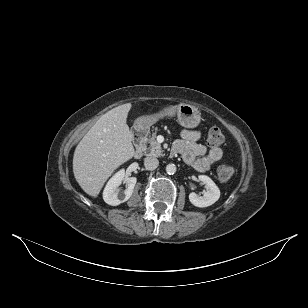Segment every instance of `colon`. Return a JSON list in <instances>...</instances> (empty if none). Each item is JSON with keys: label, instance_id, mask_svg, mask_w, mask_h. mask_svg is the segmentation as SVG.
<instances>
[{"label": "colon", "instance_id": "1", "mask_svg": "<svg viewBox=\"0 0 308 308\" xmlns=\"http://www.w3.org/2000/svg\"><path fill=\"white\" fill-rule=\"evenodd\" d=\"M224 141V135L217 127H213L207 134V144L213 149L219 147ZM235 174V169L228 163L221 164L217 169V177L221 182L230 181Z\"/></svg>", "mask_w": 308, "mask_h": 308}]
</instances>
